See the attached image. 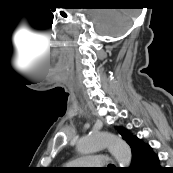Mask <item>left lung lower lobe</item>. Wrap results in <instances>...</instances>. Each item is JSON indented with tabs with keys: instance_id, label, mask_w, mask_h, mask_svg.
<instances>
[{
	"instance_id": "0a47b994",
	"label": "left lung lower lobe",
	"mask_w": 173,
	"mask_h": 173,
	"mask_svg": "<svg viewBox=\"0 0 173 173\" xmlns=\"http://www.w3.org/2000/svg\"><path fill=\"white\" fill-rule=\"evenodd\" d=\"M132 152L131 166L123 173H157L160 169L159 158L151 146L136 136L129 143Z\"/></svg>"
}]
</instances>
